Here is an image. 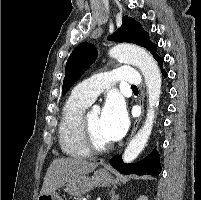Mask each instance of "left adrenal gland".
Segmentation results:
<instances>
[{
  "mask_svg": "<svg viewBox=\"0 0 201 200\" xmlns=\"http://www.w3.org/2000/svg\"><path fill=\"white\" fill-rule=\"evenodd\" d=\"M110 196H111V200H118L119 198V195H116L114 190L110 192Z\"/></svg>",
  "mask_w": 201,
  "mask_h": 200,
  "instance_id": "left-adrenal-gland-1",
  "label": "left adrenal gland"
}]
</instances>
